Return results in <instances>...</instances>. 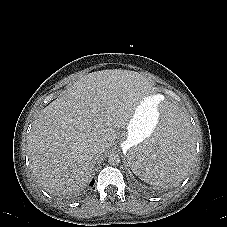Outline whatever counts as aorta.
<instances>
[{
	"label": "aorta",
	"instance_id": "aorta-1",
	"mask_svg": "<svg viewBox=\"0 0 227 227\" xmlns=\"http://www.w3.org/2000/svg\"><path fill=\"white\" fill-rule=\"evenodd\" d=\"M121 162L120 156L117 153H111L108 156V163L110 165H118Z\"/></svg>",
	"mask_w": 227,
	"mask_h": 227
}]
</instances>
